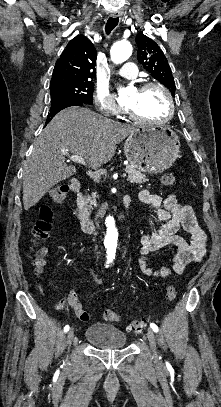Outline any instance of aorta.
Listing matches in <instances>:
<instances>
[{
  "instance_id": "1",
  "label": "aorta",
  "mask_w": 221,
  "mask_h": 407,
  "mask_svg": "<svg viewBox=\"0 0 221 407\" xmlns=\"http://www.w3.org/2000/svg\"><path fill=\"white\" fill-rule=\"evenodd\" d=\"M132 54V46L127 41L116 42L110 51L111 60L115 64H120L125 62ZM130 92L129 88H120L118 90L119 98L125 97ZM107 226V231L104 239V245L107 251V259L112 261L115 258L118 231L115 227V221L113 216H107L105 220Z\"/></svg>"
}]
</instances>
